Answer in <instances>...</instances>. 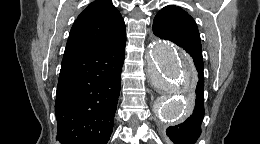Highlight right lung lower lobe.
I'll return each instance as SVG.
<instances>
[{
    "label": "right lung lower lobe",
    "instance_id": "right-lung-lower-lobe-1",
    "mask_svg": "<svg viewBox=\"0 0 260 144\" xmlns=\"http://www.w3.org/2000/svg\"><path fill=\"white\" fill-rule=\"evenodd\" d=\"M126 40L62 59L55 115L63 144H106L120 95Z\"/></svg>",
    "mask_w": 260,
    "mask_h": 144
}]
</instances>
